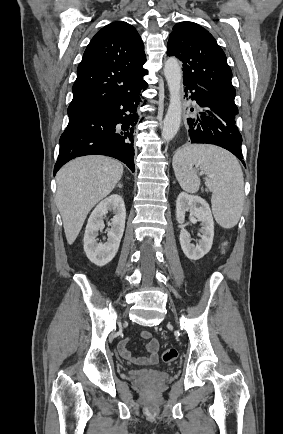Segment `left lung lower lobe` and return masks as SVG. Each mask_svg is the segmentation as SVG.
I'll use <instances>...</instances> for the list:
<instances>
[{
  "label": "left lung lower lobe",
  "instance_id": "1",
  "mask_svg": "<svg viewBox=\"0 0 283 434\" xmlns=\"http://www.w3.org/2000/svg\"><path fill=\"white\" fill-rule=\"evenodd\" d=\"M183 83L186 96L190 93L189 98L195 100L200 107L187 118L190 142L214 144L225 148L245 166L241 151L242 137L235 125V116L238 113L236 104L196 83Z\"/></svg>",
  "mask_w": 283,
  "mask_h": 434
}]
</instances>
